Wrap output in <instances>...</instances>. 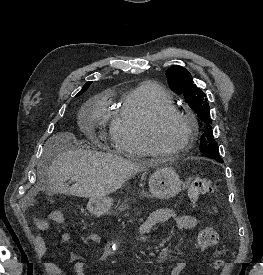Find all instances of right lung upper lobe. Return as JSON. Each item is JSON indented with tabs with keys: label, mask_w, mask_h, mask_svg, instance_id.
<instances>
[{
	"label": "right lung upper lobe",
	"mask_w": 263,
	"mask_h": 275,
	"mask_svg": "<svg viewBox=\"0 0 263 275\" xmlns=\"http://www.w3.org/2000/svg\"><path fill=\"white\" fill-rule=\"evenodd\" d=\"M91 83H92V82H87V83L84 85V87H83L82 90H84L85 88H88V87L90 86ZM82 90H81V91H82ZM81 91H80V92H81ZM80 92H79V93H80Z\"/></svg>",
	"instance_id": "right-lung-upper-lobe-1"
}]
</instances>
